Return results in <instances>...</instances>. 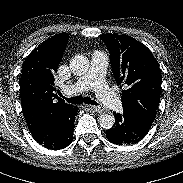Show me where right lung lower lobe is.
<instances>
[{
	"mask_svg": "<svg viewBox=\"0 0 183 183\" xmlns=\"http://www.w3.org/2000/svg\"><path fill=\"white\" fill-rule=\"evenodd\" d=\"M78 107L67 116L37 115L28 124L33 138L48 149L66 148L73 139Z\"/></svg>",
	"mask_w": 183,
	"mask_h": 183,
	"instance_id": "98d812e1",
	"label": "right lung lower lobe"
}]
</instances>
